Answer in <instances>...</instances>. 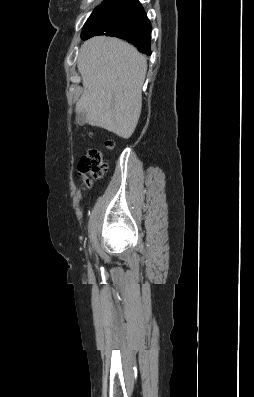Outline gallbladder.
Returning <instances> with one entry per match:
<instances>
[{
    "label": "gallbladder",
    "instance_id": "obj_1",
    "mask_svg": "<svg viewBox=\"0 0 254 397\" xmlns=\"http://www.w3.org/2000/svg\"><path fill=\"white\" fill-rule=\"evenodd\" d=\"M76 122L79 125H84L86 122V115L84 113H77L76 115Z\"/></svg>",
    "mask_w": 254,
    "mask_h": 397
}]
</instances>
